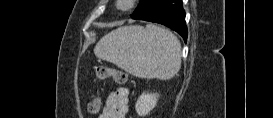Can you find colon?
I'll return each instance as SVG.
<instances>
[{
    "label": "colon",
    "instance_id": "colon-1",
    "mask_svg": "<svg viewBox=\"0 0 273 118\" xmlns=\"http://www.w3.org/2000/svg\"><path fill=\"white\" fill-rule=\"evenodd\" d=\"M96 77L99 80H105L109 77H112L114 81L120 85L125 84L127 81V75L125 72L115 68H111L106 65H98L96 67ZM101 105H102L101 99L95 98L89 102L88 111L93 114L97 113L100 111Z\"/></svg>",
    "mask_w": 273,
    "mask_h": 118
}]
</instances>
